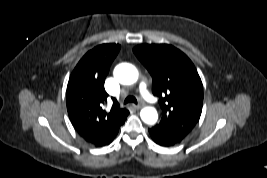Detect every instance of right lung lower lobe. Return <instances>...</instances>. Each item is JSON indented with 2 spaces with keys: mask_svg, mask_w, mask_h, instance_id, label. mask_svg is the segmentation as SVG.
<instances>
[{
  "mask_svg": "<svg viewBox=\"0 0 267 178\" xmlns=\"http://www.w3.org/2000/svg\"><path fill=\"white\" fill-rule=\"evenodd\" d=\"M124 122H125V120L118 127H116L114 130H112V132L110 134H108L103 140L96 142V143H91V144H93L97 147L109 145L114 140L116 135L118 134L119 128Z\"/></svg>",
  "mask_w": 267,
  "mask_h": 178,
  "instance_id": "obj_1",
  "label": "right lung lower lobe"
}]
</instances>
